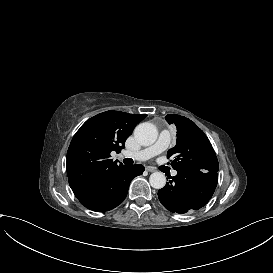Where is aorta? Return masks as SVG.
Returning a JSON list of instances; mask_svg holds the SVG:
<instances>
[{"label":"aorta","instance_id":"aorta-1","mask_svg":"<svg viewBox=\"0 0 273 273\" xmlns=\"http://www.w3.org/2000/svg\"><path fill=\"white\" fill-rule=\"evenodd\" d=\"M157 135L156 127L148 122L140 123L134 130V137L142 146L152 145ZM149 182L153 188L162 189L166 184V177L162 172H154L150 175Z\"/></svg>","mask_w":273,"mask_h":273}]
</instances>
